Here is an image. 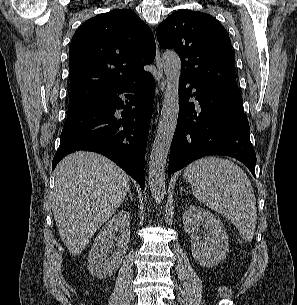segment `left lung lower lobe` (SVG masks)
I'll return each mask as SVG.
<instances>
[{"instance_id":"1","label":"left lung lower lobe","mask_w":297,"mask_h":305,"mask_svg":"<svg viewBox=\"0 0 297 305\" xmlns=\"http://www.w3.org/2000/svg\"><path fill=\"white\" fill-rule=\"evenodd\" d=\"M192 97L198 104L189 102ZM242 103L236 79L196 82L181 75L168 174L204 156L226 155L244 163L255 177L256 154Z\"/></svg>"}]
</instances>
